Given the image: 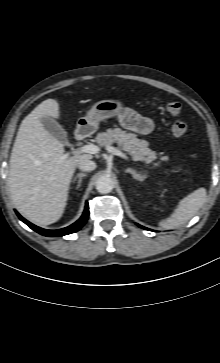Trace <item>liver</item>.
<instances>
[{"instance_id":"liver-1","label":"liver","mask_w":220,"mask_h":363,"mask_svg":"<svg viewBox=\"0 0 220 363\" xmlns=\"http://www.w3.org/2000/svg\"><path fill=\"white\" fill-rule=\"evenodd\" d=\"M60 118L54 99L41 102L20 124L10 156L8 185L14 205L31 221L49 225L65 210L71 179L83 154L62 159L64 148L41 123Z\"/></svg>"}]
</instances>
